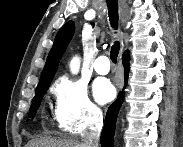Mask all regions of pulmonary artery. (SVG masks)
I'll return each instance as SVG.
<instances>
[{
  "instance_id": "pulmonary-artery-1",
  "label": "pulmonary artery",
  "mask_w": 183,
  "mask_h": 147,
  "mask_svg": "<svg viewBox=\"0 0 183 147\" xmlns=\"http://www.w3.org/2000/svg\"><path fill=\"white\" fill-rule=\"evenodd\" d=\"M94 70L100 75H106L110 71V63L107 56H99L94 63Z\"/></svg>"
}]
</instances>
